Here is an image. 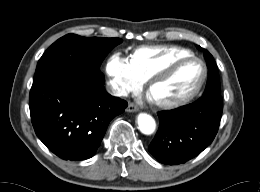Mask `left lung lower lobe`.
Returning a JSON list of instances; mask_svg holds the SVG:
<instances>
[{
    "label": "left lung lower lobe",
    "instance_id": "1",
    "mask_svg": "<svg viewBox=\"0 0 260 192\" xmlns=\"http://www.w3.org/2000/svg\"><path fill=\"white\" fill-rule=\"evenodd\" d=\"M223 110L220 94H205L174 110L158 112L159 129L148 147L161 163H185L214 139Z\"/></svg>",
    "mask_w": 260,
    "mask_h": 192
}]
</instances>
